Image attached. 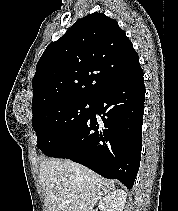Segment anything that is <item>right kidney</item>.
<instances>
[{
  "label": "right kidney",
  "mask_w": 178,
  "mask_h": 211,
  "mask_svg": "<svg viewBox=\"0 0 178 211\" xmlns=\"http://www.w3.org/2000/svg\"><path fill=\"white\" fill-rule=\"evenodd\" d=\"M127 194L124 190H114L98 204L100 211H123Z\"/></svg>",
  "instance_id": "obj_1"
}]
</instances>
